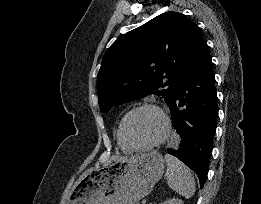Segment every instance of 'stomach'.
Masks as SVG:
<instances>
[{"label": "stomach", "mask_w": 261, "mask_h": 204, "mask_svg": "<svg viewBox=\"0 0 261 204\" xmlns=\"http://www.w3.org/2000/svg\"><path fill=\"white\" fill-rule=\"evenodd\" d=\"M164 162L150 151L90 171L76 182L68 204H138L162 177Z\"/></svg>", "instance_id": "1"}]
</instances>
